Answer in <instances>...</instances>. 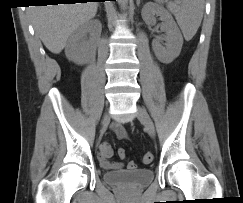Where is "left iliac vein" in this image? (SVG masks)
<instances>
[{
	"instance_id": "obj_1",
	"label": "left iliac vein",
	"mask_w": 243,
	"mask_h": 203,
	"mask_svg": "<svg viewBox=\"0 0 243 203\" xmlns=\"http://www.w3.org/2000/svg\"><path fill=\"white\" fill-rule=\"evenodd\" d=\"M138 119L145 125L151 136L155 135V126L147 111L141 107L137 110Z\"/></svg>"
}]
</instances>
